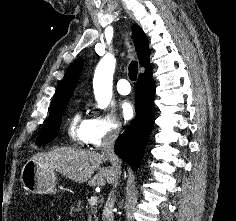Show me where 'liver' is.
I'll list each match as a JSON object with an SVG mask.
<instances>
[{
    "instance_id": "1",
    "label": "liver",
    "mask_w": 236,
    "mask_h": 221,
    "mask_svg": "<svg viewBox=\"0 0 236 221\" xmlns=\"http://www.w3.org/2000/svg\"><path fill=\"white\" fill-rule=\"evenodd\" d=\"M31 160L45 168L56 170L72 181H88L90 186H105L115 177L112 167H101L108 158L94 151L60 147L46 153H37ZM95 171L97 173L93 175Z\"/></svg>"
}]
</instances>
